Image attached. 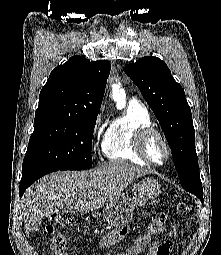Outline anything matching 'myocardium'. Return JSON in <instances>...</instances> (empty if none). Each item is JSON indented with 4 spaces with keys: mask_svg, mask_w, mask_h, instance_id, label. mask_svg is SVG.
Wrapping results in <instances>:
<instances>
[{
    "mask_svg": "<svg viewBox=\"0 0 221 255\" xmlns=\"http://www.w3.org/2000/svg\"><path fill=\"white\" fill-rule=\"evenodd\" d=\"M153 136H156L161 140V142L164 145V148L166 150L165 160L161 163L153 162L147 153V143ZM134 147H135V150L138 153V155L150 166H155V167L163 166L171 158V149H170V146H169V143H168L166 137L159 130H157L154 127L140 128L135 133Z\"/></svg>",
    "mask_w": 221,
    "mask_h": 255,
    "instance_id": "f54148a6",
    "label": "myocardium"
}]
</instances>
